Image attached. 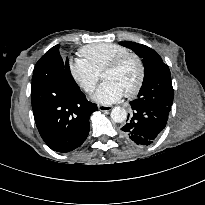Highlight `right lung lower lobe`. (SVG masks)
<instances>
[{
	"label": "right lung lower lobe",
	"mask_w": 205,
	"mask_h": 205,
	"mask_svg": "<svg viewBox=\"0 0 205 205\" xmlns=\"http://www.w3.org/2000/svg\"><path fill=\"white\" fill-rule=\"evenodd\" d=\"M31 103L42 139L58 152L72 151L85 141L90 115L98 110L74 81L68 59L63 63L59 45L51 48L35 65Z\"/></svg>",
	"instance_id": "1"
}]
</instances>
